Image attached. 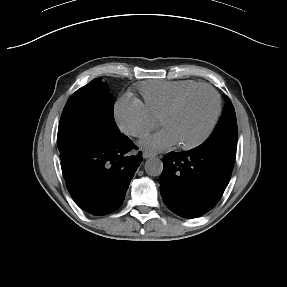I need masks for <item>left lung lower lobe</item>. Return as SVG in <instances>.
Segmentation results:
<instances>
[{"label": "left lung lower lobe", "instance_id": "obj_1", "mask_svg": "<svg viewBox=\"0 0 287 287\" xmlns=\"http://www.w3.org/2000/svg\"><path fill=\"white\" fill-rule=\"evenodd\" d=\"M163 166L160 191L164 203L185 218L211 210L226 189L232 172L224 160L200 146L168 153Z\"/></svg>", "mask_w": 287, "mask_h": 287}]
</instances>
